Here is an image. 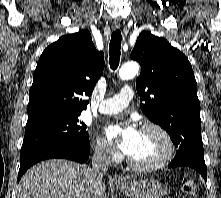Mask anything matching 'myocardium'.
<instances>
[{"mask_svg": "<svg viewBox=\"0 0 221 198\" xmlns=\"http://www.w3.org/2000/svg\"><path fill=\"white\" fill-rule=\"evenodd\" d=\"M152 130L155 131L164 141L165 149L162 156L153 163L140 164L132 160L129 156L126 158V162L132 169L139 172H151L159 170L165 167L173 157L174 154V142L170 134L160 125L152 122L145 123L141 126L140 131Z\"/></svg>", "mask_w": 221, "mask_h": 198, "instance_id": "1", "label": "myocardium"}]
</instances>
